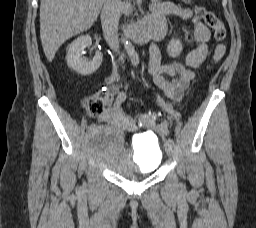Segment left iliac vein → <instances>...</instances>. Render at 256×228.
<instances>
[{"mask_svg":"<svg viewBox=\"0 0 256 228\" xmlns=\"http://www.w3.org/2000/svg\"><path fill=\"white\" fill-rule=\"evenodd\" d=\"M165 151L168 155L172 156L173 155V144H171L170 142L166 141L165 142Z\"/></svg>","mask_w":256,"mask_h":228,"instance_id":"left-iliac-vein-1","label":"left iliac vein"}]
</instances>
